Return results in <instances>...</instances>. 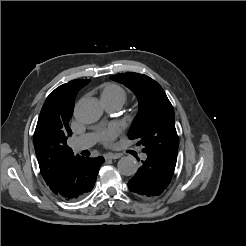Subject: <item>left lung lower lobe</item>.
<instances>
[{"mask_svg": "<svg viewBox=\"0 0 246 246\" xmlns=\"http://www.w3.org/2000/svg\"><path fill=\"white\" fill-rule=\"evenodd\" d=\"M142 163L136 174L129 180L128 187L140 198L152 199L167 188L176 165L150 153Z\"/></svg>", "mask_w": 246, "mask_h": 246, "instance_id": "0a47b994", "label": "left lung lower lobe"}]
</instances>
